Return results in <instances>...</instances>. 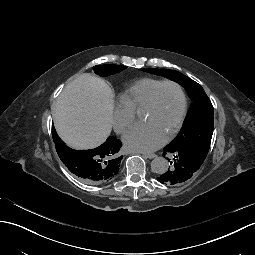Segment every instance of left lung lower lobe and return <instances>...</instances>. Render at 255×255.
<instances>
[{"instance_id": "1", "label": "left lung lower lobe", "mask_w": 255, "mask_h": 255, "mask_svg": "<svg viewBox=\"0 0 255 255\" xmlns=\"http://www.w3.org/2000/svg\"><path fill=\"white\" fill-rule=\"evenodd\" d=\"M163 156L169 158L167 161L169 170L156 178L158 183H183L187 182L195 171L200 173V166L196 164L194 154L187 153L184 150L165 148Z\"/></svg>"}]
</instances>
